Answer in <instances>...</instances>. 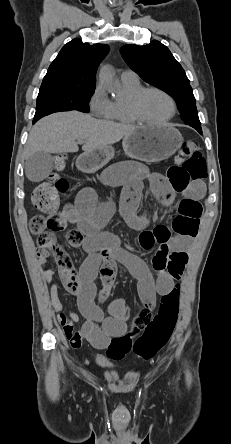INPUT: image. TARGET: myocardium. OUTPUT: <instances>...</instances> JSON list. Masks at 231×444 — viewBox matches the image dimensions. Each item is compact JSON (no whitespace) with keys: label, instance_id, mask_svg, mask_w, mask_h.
Wrapping results in <instances>:
<instances>
[{"label":"myocardium","instance_id":"myocardium-1","mask_svg":"<svg viewBox=\"0 0 231 444\" xmlns=\"http://www.w3.org/2000/svg\"><path fill=\"white\" fill-rule=\"evenodd\" d=\"M149 92H158V93L164 95L170 101L172 111L168 117L161 119V120H152V119H149L148 117H146L142 113L141 101H142L143 97L145 96V94H147ZM129 110H130L132 116L138 122L159 125V124H164L166 122H169L170 120H172L174 118V116L176 115V112H177V105H176L174 98L165 90L158 88V87H142L140 90H138L131 97V99L129 101Z\"/></svg>","mask_w":231,"mask_h":444}]
</instances>
